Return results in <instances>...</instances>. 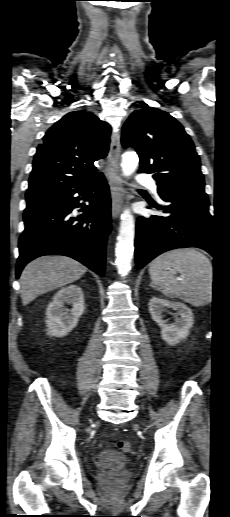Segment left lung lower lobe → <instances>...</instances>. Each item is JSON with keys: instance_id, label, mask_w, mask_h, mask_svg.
I'll list each match as a JSON object with an SVG mask.
<instances>
[{"instance_id": "0a47b994", "label": "left lung lower lobe", "mask_w": 230, "mask_h": 517, "mask_svg": "<svg viewBox=\"0 0 230 517\" xmlns=\"http://www.w3.org/2000/svg\"><path fill=\"white\" fill-rule=\"evenodd\" d=\"M158 185V184H157ZM165 205L164 216H140L136 224L135 260L142 268L163 252L181 247H198L215 255L209 201L201 191H169L158 185Z\"/></svg>"}]
</instances>
